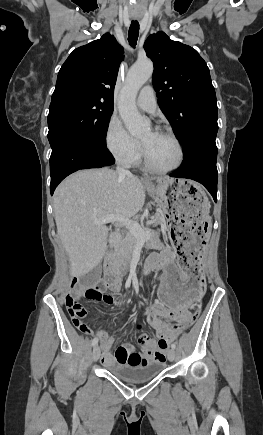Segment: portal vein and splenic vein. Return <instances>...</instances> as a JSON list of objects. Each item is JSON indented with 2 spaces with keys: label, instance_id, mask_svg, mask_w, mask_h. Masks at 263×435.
I'll list each match as a JSON object with an SVG mask.
<instances>
[{
  "label": "portal vein and splenic vein",
  "instance_id": "obj_1",
  "mask_svg": "<svg viewBox=\"0 0 263 435\" xmlns=\"http://www.w3.org/2000/svg\"><path fill=\"white\" fill-rule=\"evenodd\" d=\"M111 222H119L124 224L139 240L145 241L151 236V233L144 231L138 223L133 222L130 218L124 216L109 215L98 220H93L94 224H107Z\"/></svg>",
  "mask_w": 263,
  "mask_h": 435
}]
</instances>
